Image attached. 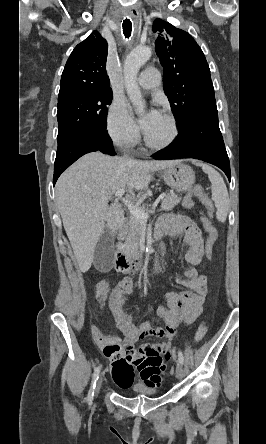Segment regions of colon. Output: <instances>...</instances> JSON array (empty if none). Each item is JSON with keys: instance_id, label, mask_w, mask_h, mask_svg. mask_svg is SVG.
Listing matches in <instances>:
<instances>
[{"instance_id": "1", "label": "colon", "mask_w": 266, "mask_h": 444, "mask_svg": "<svg viewBox=\"0 0 266 444\" xmlns=\"http://www.w3.org/2000/svg\"><path fill=\"white\" fill-rule=\"evenodd\" d=\"M194 197H198L202 201L208 213L211 214L212 204L207 194L205 193L203 187L199 185L194 186L186 194L184 198V203L187 207H192L194 205L193 201ZM202 221L207 233L204 245V256L205 259L208 260L211 257L213 244L217 238V229L207 216H203ZM128 288H129V283L127 281H122L115 287L110 296L109 300L110 307L116 306L119 303L120 299L122 298V296L124 295V293L127 291ZM207 331H208V325L206 323H202L195 332V335L193 337V342L198 343L199 341H201L206 335Z\"/></svg>"}]
</instances>
